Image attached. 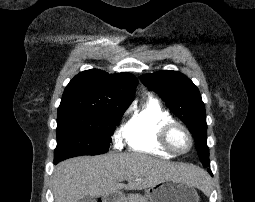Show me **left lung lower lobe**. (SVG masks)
Returning <instances> with one entry per match:
<instances>
[{"label":"left lung lower lobe","mask_w":255,"mask_h":202,"mask_svg":"<svg viewBox=\"0 0 255 202\" xmlns=\"http://www.w3.org/2000/svg\"><path fill=\"white\" fill-rule=\"evenodd\" d=\"M207 167H210V165H209V166H207ZM208 171L211 173L210 169H208Z\"/></svg>","instance_id":"0a47b994"}]
</instances>
